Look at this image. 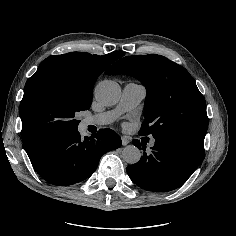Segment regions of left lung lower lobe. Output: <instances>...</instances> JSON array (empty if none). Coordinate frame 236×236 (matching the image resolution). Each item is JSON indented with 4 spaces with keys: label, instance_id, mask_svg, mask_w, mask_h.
Here are the masks:
<instances>
[{
    "label": "left lung lower lobe",
    "instance_id": "1",
    "mask_svg": "<svg viewBox=\"0 0 236 236\" xmlns=\"http://www.w3.org/2000/svg\"><path fill=\"white\" fill-rule=\"evenodd\" d=\"M154 139L151 153L145 152L146 143L143 141H132L144 152L137 163L127 167V173L145 190L167 192L177 189L202 163L205 157L203 145L169 134H159Z\"/></svg>",
    "mask_w": 236,
    "mask_h": 236
}]
</instances>
